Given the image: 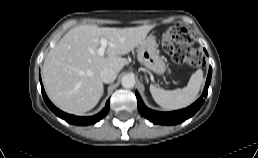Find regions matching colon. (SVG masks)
I'll use <instances>...</instances> for the list:
<instances>
[{
    "mask_svg": "<svg viewBox=\"0 0 258 158\" xmlns=\"http://www.w3.org/2000/svg\"><path fill=\"white\" fill-rule=\"evenodd\" d=\"M193 36L181 25H176L162 36L161 45L175 63L199 67L203 63L201 55L191 46Z\"/></svg>",
    "mask_w": 258,
    "mask_h": 158,
    "instance_id": "obj_1",
    "label": "colon"
}]
</instances>
